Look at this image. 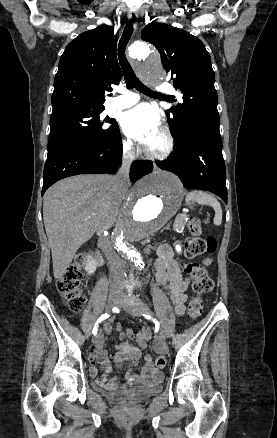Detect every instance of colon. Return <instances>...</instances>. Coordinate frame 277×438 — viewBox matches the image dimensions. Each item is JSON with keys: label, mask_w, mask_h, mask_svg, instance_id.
<instances>
[{"label": "colon", "mask_w": 277, "mask_h": 438, "mask_svg": "<svg viewBox=\"0 0 277 438\" xmlns=\"http://www.w3.org/2000/svg\"><path fill=\"white\" fill-rule=\"evenodd\" d=\"M185 228L191 234L185 240L184 253L187 257L210 256L216 251L217 240L213 235H197L201 229V223L198 219L189 221ZM86 253L91 256L94 252L89 249ZM84 267L85 263L82 261L68 267L57 283L58 293L66 300L68 308L74 313L82 311L85 303V297L79 282ZM183 270L193 281L194 291L197 294L188 304L187 315L191 319H196L203 309L201 295L208 294L213 290L214 281L204 264L186 263L183 265ZM155 364L158 368H163L166 365V360L163 356H159L156 358Z\"/></svg>", "instance_id": "1"}]
</instances>
